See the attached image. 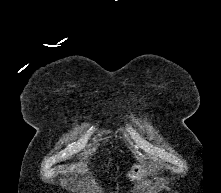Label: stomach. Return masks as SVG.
<instances>
[{"label":"stomach","mask_w":221,"mask_h":193,"mask_svg":"<svg viewBox=\"0 0 221 193\" xmlns=\"http://www.w3.org/2000/svg\"><path fill=\"white\" fill-rule=\"evenodd\" d=\"M146 174V167L143 164H135L128 174L131 181L140 180Z\"/></svg>","instance_id":"stomach-1"}]
</instances>
